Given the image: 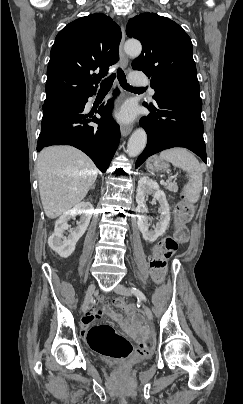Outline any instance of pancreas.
<instances>
[{
    "label": "pancreas",
    "mask_w": 243,
    "mask_h": 404,
    "mask_svg": "<svg viewBox=\"0 0 243 404\" xmlns=\"http://www.w3.org/2000/svg\"><path fill=\"white\" fill-rule=\"evenodd\" d=\"M166 190H169V192H178V186L177 184H168Z\"/></svg>",
    "instance_id": "obj_1"
}]
</instances>
